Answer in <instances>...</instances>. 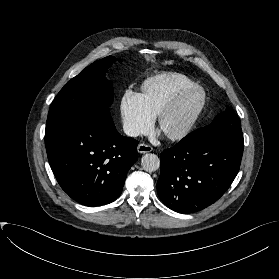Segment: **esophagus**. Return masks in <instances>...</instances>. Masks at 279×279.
Here are the masks:
<instances>
[{
    "label": "esophagus",
    "instance_id": "obj_1",
    "mask_svg": "<svg viewBox=\"0 0 279 279\" xmlns=\"http://www.w3.org/2000/svg\"><path fill=\"white\" fill-rule=\"evenodd\" d=\"M137 151L141 154L149 153L152 151V147L150 145L140 143L137 147Z\"/></svg>",
    "mask_w": 279,
    "mask_h": 279
}]
</instances>
